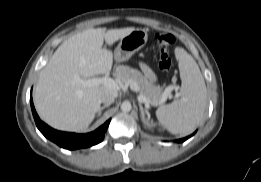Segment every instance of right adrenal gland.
Here are the masks:
<instances>
[{"label":"right adrenal gland","instance_id":"obj_1","mask_svg":"<svg viewBox=\"0 0 261 182\" xmlns=\"http://www.w3.org/2000/svg\"><path fill=\"white\" fill-rule=\"evenodd\" d=\"M108 106H109V105H104V106L100 107L97 116H100L101 113H102V111H103L105 108H107Z\"/></svg>","mask_w":261,"mask_h":182}]
</instances>
